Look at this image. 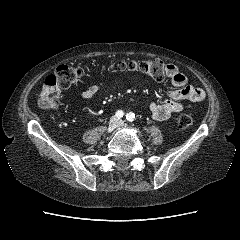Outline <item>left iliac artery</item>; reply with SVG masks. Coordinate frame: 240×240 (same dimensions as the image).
<instances>
[{"label": "left iliac artery", "mask_w": 240, "mask_h": 240, "mask_svg": "<svg viewBox=\"0 0 240 240\" xmlns=\"http://www.w3.org/2000/svg\"><path fill=\"white\" fill-rule=\"evenodd\" d=\"M126 119H127L129 122L134 121V119H135V114L132 113V112L128 113V114L126 115Z\"/></svg>", "instance_id": "44dca946"}]
</instances>
